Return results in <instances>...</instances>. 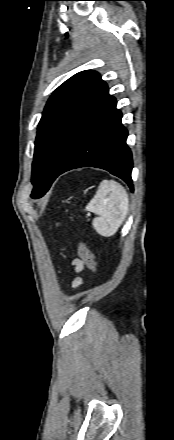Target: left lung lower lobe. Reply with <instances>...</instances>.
Listing matches in <instances>:
<instances>
[{
  "mask_svg": "<svg viewBox=\"0 0 174 440\" xmlns=\"http://www.w3.org/2000/svg\"><path fill=\"white\" fill-rule=\"evenodd\" d=\"M116 104V99L108 94L91 114L58 176L75 168L96 167L121 178L133 190L128 132Z\"/></svg>",
  "mask_w": 174,
  "mask_h": 440,
  "instance_id": "obj_1",
  "label": "left lung lower lobe"
}]
</instances>
